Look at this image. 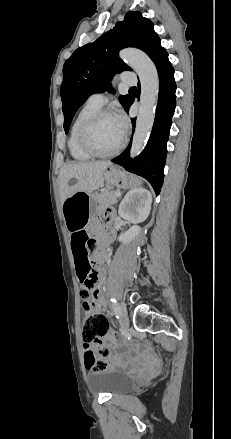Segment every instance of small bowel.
Wrapping results in <instances>:
<instances>
[{"label": "small bowel", "instance_id": "small-bowel-1", "mask_svg": "<svg viewBox=\"0 0 231 439\" xmlns=\"http://www.w3.org/2000/svg\"><path fill=\"white\" fill-rule=\"evenodd\" d=\"M80 237L79 240H77V237ZM113 237V232L110 230L109 235L106 234L105 238L107 240H110V238ZM92 246V243L89 242L87 233L83 229H77L72 230L71 233V250L72 255L75 261L76 269L78 271L79 265H83L86 263H90L94 267V274H96L97 278H99V273L96 270V265L99 263V255L93 254L92 259H90L89 250ZM94 299L91 305V312L93 313H101L105 306V301L102 297V292L99 287H95L94 290ZM101 344H103L106 351L115 349L118 340L114 335L106 336L105 338L101 339ZM96 350V347L94 345L86 344L84 346V353L91 351L94 352ZM154 369V366L147 362L143 364L139 370H135L134 373H146Z\"/></svg>", "mask_w": 231, "mask_h": 439}]
</instances>
